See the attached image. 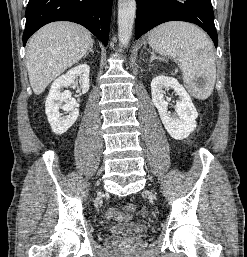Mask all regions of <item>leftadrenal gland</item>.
Returning <instances> with one entry per match:
<instances>
[{
  "label": "left adrenal gland",
  "instance_id": "left-adrenal-gland-1",
  "mask_svg": "<svg viewBox=\"0 0 247 257\" xmlns=\"http://www.w3.org/2000/svg\"><path fill=\"white\" fill-rule=\"evenodd\" d=\"M155 59H159V60L164 61L163 58L157 57L154 52H151L150 63H151L153 60H155Z\"/></svg>",
  "mask_w": 247,
  "mask_h": 257
}]
</instances>
